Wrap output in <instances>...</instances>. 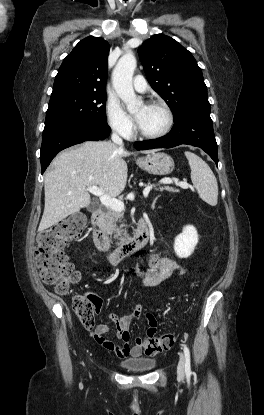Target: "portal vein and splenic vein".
I'll list each match as a JSON object with an SVG mask.
<instances>
[{"mask_svg":"<svg viewBox=\"0 0 264 415\" xmlns=\"http://www.w3.org/2000/svg\"><path fill=\"white\" fill-rule=\"evenodd\" d=\"M175 184L183 189H188L190 187V185L187 182H182V181H174ZM161 183L163 184H171L173 183V180L171 179H164L161 181ZM153 186H147L144 190H143V195L144 197H147L150 190L152 189ZM87 190L92 193L95 196H98L100 198L101 203L107 207L110 208L114 211H118L121 212L124 210L125 206L124 203L120 200H117L115 198H111L110 196H108L107 194H105L100 188H98L96 185H92V186H88Z\"/></svg>","mask_w":264,"mask_h":415,"instance_id":"portal-vein-and-splenic-vein-1","label":"portal vein and splenic vein"}]
</instances>
